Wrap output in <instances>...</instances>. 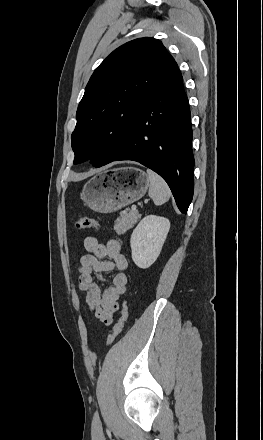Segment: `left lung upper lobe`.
<instances>
[{"instance_id": "1", "label": "left lung upper lobe", "mask_w": 263, "mask_h": 440, "mask_svg": "<svg viewBox=\"0 0 263 440\" xmlns=\"http://www.w3.org/2000/svg\"><path fill=\"white\" fill-rule=\"evenodd\" d=\"M174 59L154 38L132 40L94 71L79 103L71 136L74 164L101 167L129 143L134 121Z\"/></svg>"}]
</instances>
